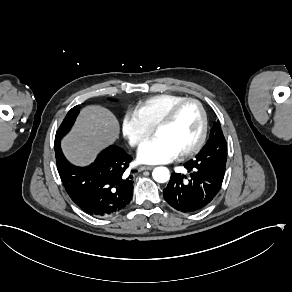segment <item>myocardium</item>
I'll return each mask as SVG.
<instances>
[{"label": "myocardium", "mask_w": 292, "mask_h": 292, "mask_svg": "<svg viewBox=\"0 0 292 292\" xmlns=\"http://www.w3.org/2000/svg\"><path fill=\"white\" fill-rule=\"evenodd\" d=\"M187 103L195 104L199 110V113H200V131H199V135H198V138L195 141V143L193 145H191L190 147L181 151L180 154L182 156H186V155L192 154L194 152H197L202 147V145L205 141V137H206V133H207V116H206V112L204 110L202 103L194 98H183V99L173 103L171 106H169L167 108V110L159 117V119L157 120V122L154 126V131H156L157 128L170 123L174 119V117H175L177 111L180 109V107H182L183 105H185Z\"/></svg>", "instance_id": "1"}]
</instances>
